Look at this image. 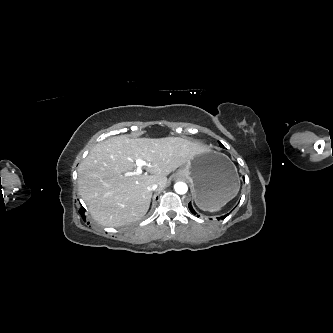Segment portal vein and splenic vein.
Here are the masks:
<instances>
[{
  "label": "portal vein and splenic vein",
  "mask_w": 333,
  "mask_h": 333,
  "mask_svg": "<svg viewBox=\"0 0 333 333\" xmlns=\"http://www.w3.org/2000/svg\"><path fill=\"white\" fill-rule=\"evenodd\" d=\"M135 164H136V169L132 172L124 173L125 176L140 175L142 174V167L149 166V164L142 159H136Z\"/></svg>",
  "instance_id": "obj_1"
}]
</instances>
